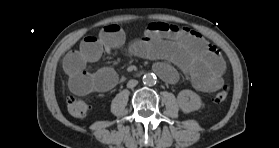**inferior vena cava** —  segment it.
<instances>
[{
    "mask_svg": "<svg viewBox=\"0 0 279 148\" xmlns=\"http://www.w3.org/2000/svg\"><path fill=\"white\" fill-rule=\"evenodd\" d=\"M137 84H138V81L132 79V80H129V81H128L127 87H128V88H134Z\"/></svg>",
    "mask_w": 279,
    "mask_h": 148,
    "instance_id": "obj_1",
    "label": "inferior vena cava"
}]
</instances>
